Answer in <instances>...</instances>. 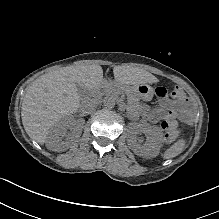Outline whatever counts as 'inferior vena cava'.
<instances>
[{
    "label": "inferior vena cava",
    "instance_id": "602c4592",
    "mask_svg": "<svg viewBox=\"0 0 219 219\" xmlns=\"http://www.w3.org/2000/svg\"><path fill=\"white\" fill-rule=\"evenodd\" d=\"M81 107L84 111L86 112H91L95 109L96 107V102L93 98L91 97H86L82 100L81 102Z\"/></svg>",
    "mask_w": 219,
    "mask_h": 219
}]
</instances>
